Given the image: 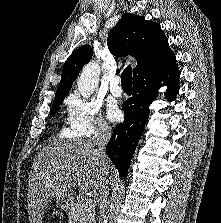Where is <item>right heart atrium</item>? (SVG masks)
<instances>
[{
	"label": "right heart atrium",
	"instance_id": "1",
	"mask_svg": "<svg viewBox=\"0 0 221 223\" xmlns=\"http://www.w3.org/2000/svg\"><path fill=\"white\" fill-rule=\"evenodd\" d=\"M65 134L71 138H89L110 132V126L100 112L99 104L73 92L65 100Z\"/></svg>",
	"mask_w": 221,
	"mask_h": 223
}]
</instances>
